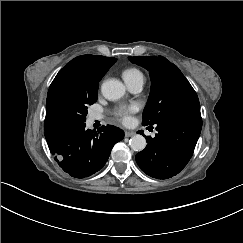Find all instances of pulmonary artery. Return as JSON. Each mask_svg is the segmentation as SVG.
Masks as SVG:
<instances>
[{"instance_id": "1", "label": "pulmonary artery", "mask_w": 243, "mask_h": 243, "mask_svg": "<svg viewBox=\"0 0 243 243\" xmlns=\"http://www.w3.org/2000/svg\"><path fill=\"white\" fill-rule=\"evenodd\" d=\"M142 87H143V83H139V84H136V85H133V86H129V89L132 92H139V91H141ZM102 118H103V116H101L99 114H94L91 117L92 121L101 120Z\"/></svg>"}]
</instances>
